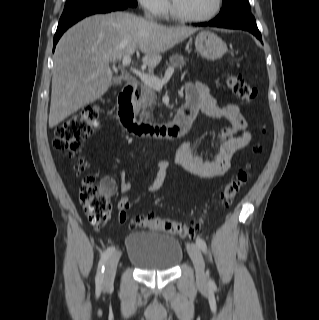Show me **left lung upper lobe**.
Returning <instances> with one entry per match:
<instances>
[{"instance_id": "5c2ea615", "label": "left lung upper lobe", "mask_w": 319, "mask_h": 320, "mask_svg": "<svg viewBox=\"0 0 319 320\" xmlns=\"http://www.w3.org/2000/svg\"><path fill=\"white\" fill-rule=\"evenodd\" d=\"M222 5L223 8L219 15H226L234 11L251 12L248 0H223Z\"/></svg>"}]
</instances>
